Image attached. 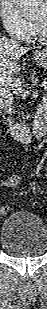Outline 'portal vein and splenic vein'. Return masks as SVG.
<instances>
[{
  "mask_svg": "<svg viewBox=\"0 0 47 309\" xmlns=\"http://www.w3.org/2000/svg\"><path fill=\"white\" fill-rule=\"evenodd\" d=\"M0 82L1 84H7L8 86H11V87H20L21 86V81L19 79H16V78H9V77H6V76H3L0 78Z\"/></svg>",
  "mask_w": 47,
  "mask_h": 309,
  "instance_id": "portal-vein-and-splenic-vein-1",
  "label": "portal vein and splenic vein"
}]
</instances>
